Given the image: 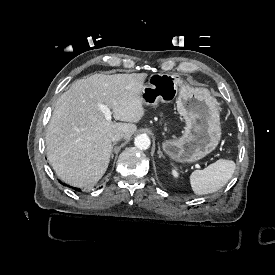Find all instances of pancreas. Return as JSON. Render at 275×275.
<instances>
[{
  "label": "pancreas",
  "instance_id": "1",
  "mask_svg": "<svg viewBox=\"0 0 275 275\" xmlns=\"http://www.w3.org/2000/svg\"><path fill=\"white\" fill-rule=\"evenodd\" d=\"M160 116H163V114L161 113V114H160ZM165 125H166V124H165ZM164 129H165V130H167V128H166V127H165Z\"/></svg>",
  "mask_w": 275,
  "mask_h": 275
}]
</instances>
